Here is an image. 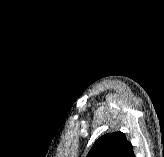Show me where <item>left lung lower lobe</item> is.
<instances>
[{
	"label": "left lung lower lobe",
	"instance_id": "left-lung-lower-lobe-1",
	"mask_svg": "<svg viewBox=\"0 0 164 157\" xmlns=\"http://www.w3.org/2000/svg\"><path fill=\"white\" fill-rule=\"evenodd\" d=\"M129 157H135L133 150H132L131 154L129 155Z\"/></svg>",
	"mask_w": 164,
	"mask_h": 157
}]
</instances>
